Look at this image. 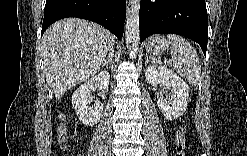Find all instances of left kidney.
Returning <instances> with one entry per match:
<instances>
[{
  "label": "left kidney",
  "mask_w": 247,
  "mask_h": 156,
  "mask_svg": "<svg viewBox=\"0 0 247 156\" xmlns=\"http://www.w3.org/2000/svg\"><path fill=\"white\" fill-rule=\"evenodd\" d=\"M145 77L149 84H161L169 90L166 99L165 91L160 92L157 98V105L166 119L175 120L186 111L189 86L173 70L154 63L146 68Z\"/></svg>",
  "instance_id": "5707ae66"
}]
</instances>
